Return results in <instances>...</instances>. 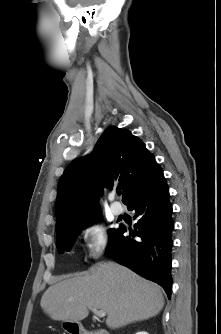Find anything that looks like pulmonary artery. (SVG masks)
<instances>
[{
    "label": "pulmonary artery",
    "instance_id": "1",
    "mask_svg": "<svg viewBox=\"0 0 221 334\" xmlns=\"http://www.w3.org/2000/svg\"><path fill=\"white\" fill-rule=\"evenodd\" d=\"M111 211L114 215L118 216L123 213V207L118 202L114 201V197L111 198Z\"/></svg>",
    "mask_w": 221,
    "mask_h": 334
}]
</instances>
